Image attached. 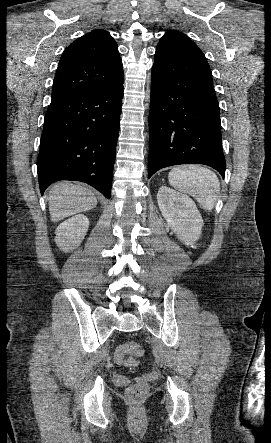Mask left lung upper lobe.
Segmentation results:
<instances>
[{
    "instance_id": "1",
    "label": "left lung upper lobe",
    "mask_w": 271,
    "mask_h": 443,
    "mask_svg": "<svg viewBox=\"0 0 271 443\" xmlns=\"http://www.w3.org/2000/svg\"><path fill=\"white\" fill-rule=\"evenodd\" d=\"M157 48L173 49L204 57L202 51L192 40L176 30L167 31L160 39Z\"/></svg>"
}]
</instances>
